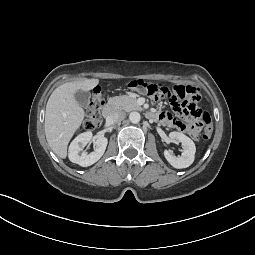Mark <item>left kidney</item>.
<instances>
[{
	"instance_id": "left-kidney-1",
	"label": "left kidney",
	"mask_w": 255,
	"mask_h": 255,
	"mask_svg": "<svg viewBox=\"0 0 255 255\" xmlns=\"http://www.w3.org/2000/svg\"><path fill=\"white\" fill-rule=\"evenodd\" d=\"M169 138L172 141H179L183 150L181 156H174L170 151L165 150L164 156L166 160L177 169L189 167L194 162L195 158L196 147L194 142L185 134L176 131L171 132Z\"/></svg>"
}]
</instances>
